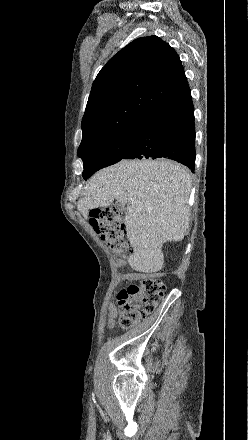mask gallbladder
Instances as JSON below:
<instances>
[{
	"label": "gallbladder",
	"mask_w": 248,
	"mask_h": 440,
	"mask_svg": "<svg viewBox=\"0 0 248 440\" xmlns=\"http://www.w3.org/2000/svg\"><path fill=\"white\" fill-rule=\"evenodd\" d=\"M115 207L121 208V205L117 202V203H115Z\"/></svg>",
	"instance_id": "gallbladder-1"
}]
</instances>
